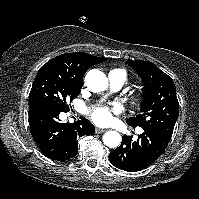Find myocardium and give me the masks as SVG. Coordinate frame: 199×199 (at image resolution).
<instances>
[{"instance_id":"1","label":"myocardium","mask_w":199,"mask_h":199,"mask_svg":"<svg viewBox=\"0 0 199 199\" xmlns=\"http://www.w3.org/2000/svg\"><path fill=\"white\" fill-rule=\"evenodd\" d=\"M144 103V96L143 95H137L136 98L133 101L134 106L141 107Z\"/></svg>"}]
</instances>
